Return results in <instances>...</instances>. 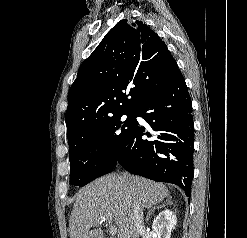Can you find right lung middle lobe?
Listing matches in <instances>:
<instances>
[{
  "mask_svg": "<svg viewBox=\"0 0 247 238\" xmlns=\"http://www.w3.org/2000/svg\"><path fill=\"white\" fill-rule=\"evenodd\" d=\"M123 115H127L126 120ZM135 113H123L87 129L72 145L70 181L84 186L111 172L135 125Z\"/></svg>",
  "mask_w": 247,
  "mask_h": 238,
  "instance_id": "1",
  "label": "right lung middle lobe"
}]
</instances>
